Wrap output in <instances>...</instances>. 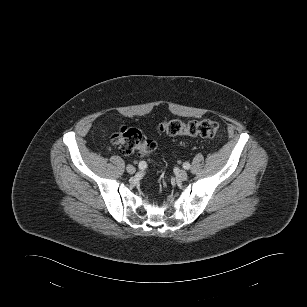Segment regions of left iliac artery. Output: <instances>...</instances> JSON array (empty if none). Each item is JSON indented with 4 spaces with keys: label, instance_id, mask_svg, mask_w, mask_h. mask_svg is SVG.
<instances>
[{
    "label": "left iliac artery",
    "instance_id": "obj_1",
    "mask_svg": "<svg viewBox=\"0 0 307 307\" xmlns=\"http://www.w3.org/2000/svg\"><path fill=\"white\" fill-rule=\"evenodd\" d=\"M183 168L184 169H190V164L188 162L183 163Z\"/></svg>",
    "mask_w": 307,
    "mask_h": 307
}]
</instances>
